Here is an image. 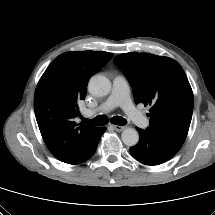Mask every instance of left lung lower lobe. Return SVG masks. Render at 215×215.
<instances>
[{
	"instance_id": "obj_1",
	"label": "left lung lower lobe",
	"mask_w": 215,
	"mask_h": 215,
	"mask_svg": "<svg viewBox=\"0 0 215 215\" xmlns=\"http://www.w3.org/2000/svg\"><path fill=\"white\" fill-rule=\"evenodd\" d=\"M139 142L130 148L131 155L145 165H159L171 159L180 147L170 143L163 137L150 130L137 128Z\"/></svg>"
}]
</instances>
